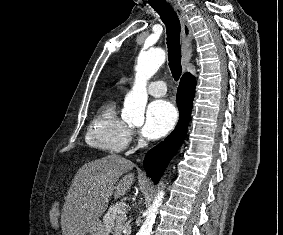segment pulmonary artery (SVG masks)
Segmentation results:
<instances>
[{"label": "pulmonary artery", "instance_id": "pulmonary-artery-1", "mask_svg": "<svg viewBox=\"0 0 283 235\" xmlns=\"http://www.w3.org/2000/svg\"><path fill=\"white\" fill-rule=\"evenodd\" d=\"M147 91L151 96L162 97L166 94L167 87L163 81H153L148 85Z\"/></svg>", "mask_w": 283, "mask_h": 235}]
</instances>
